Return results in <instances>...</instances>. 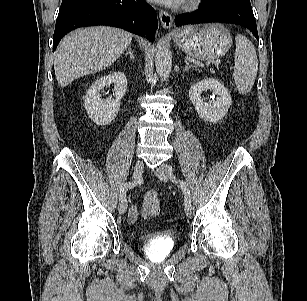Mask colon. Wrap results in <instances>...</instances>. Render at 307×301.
I'll list each match as a JSON object with an SVG mask.
<instances>
[{
    "label": "colon",
    "mask_w": 307,
    "mask_h": 301,
    "mask_svg": "<svg viewBox=\"0 0 307 301\" xmlns=\"http://www.w3.org/2000/svg\"><path fill=\"white\" fill-rule=\"evenodd\" d=\"M144 215L148 218L156 216L160 211V201L154 191L145 194L142 204Z\"/></svg>",
    "instance_id": "5ec220e1"
}]
</instances>
